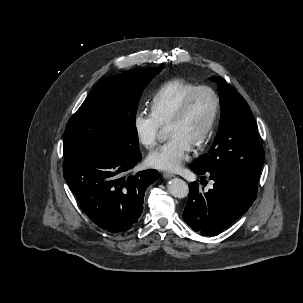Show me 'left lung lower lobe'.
Segmentation results:
<instances>
[{"instance_id": "obj_1", "label": "left lung lower lobe", "mask_w": 303, "mask_h": 303, "mask_svg": "<svg viewBox=\"0 0 303 303\" xmlns=\"http://www.w3.org/2000/svg\"><path fill=\"white\" fill-rule=\"evenodd\" d=\"M190 168L201 179L207 175L215 182L208 192H203L195 182L189 184L183 219L196 232L215 235L240 218L256 199L257 184L243 176L216 168Z\"/></svg>"}]
</instances>
